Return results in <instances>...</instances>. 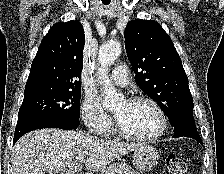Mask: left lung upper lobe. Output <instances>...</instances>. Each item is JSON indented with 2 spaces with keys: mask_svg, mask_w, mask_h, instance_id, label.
<instances>
[{
  "mask_svg": "<svg viewBox=\"0 0 224 174\" xmlns=\"http://www.w3.org/2000/svg\"><path fill=\"white\" fill-rule=\"evenodd\" d=\"M124 38L135 82L160 105L171 125L184 115H193L182 61L161 25L153 20L131 21Z\"/></svg>",
  "mask_w": 224,
  "mask_h": 174,
  "instance_id": "1",
  "label": "left lung upper lobe"
}]
</instances>
